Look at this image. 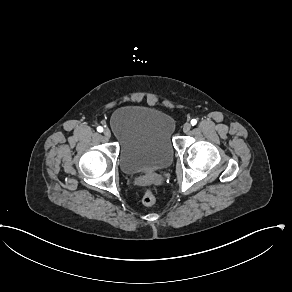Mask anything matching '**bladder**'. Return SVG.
<instances>
[{"label":"bladder","mask_w":292,"mask_h":292,"mask_svg":"<svg viewBox=\"0 0 292 292\" xmlns=\"http://www.w3.org/2000/svg\"><path fill=\"white\" fill-rule=\"evenodd\" d=\"M110 126L119 143L123 172L156 170L172 162L175 122L166 111L143 104L125 105L113 112Z\"/></svg>","instance_id":"obj_1"}]
</instances>
